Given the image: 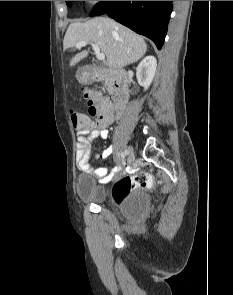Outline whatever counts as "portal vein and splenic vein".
Segmentation results:
<instances>
[{
  "mask_svg": "<svg viewBox=\"0 0 233 295\" xmlns=\"http://www.w3.org/2000/svg\"><path fill=\"white\" fill-rule=\"evenodd\" d=\"M87 44H89L88 41H80V42H78V43L76 44V48L84 47V46H86ZM90 44L92 45V48H93V50H94V52H95V54H96V57H97L99 60H101V61L105 60V54H103V53L100 52V48H99V46H98L97 44H94V43H90Z\"/></svg>",
  "mask_w": 233,
  "mask_h": 295,
  "instance_id": "1",
  "label": "portal vein and splenic vein"
}]
</instances>
